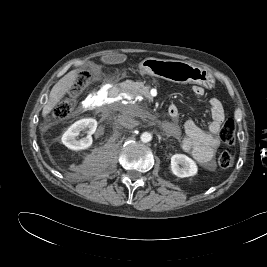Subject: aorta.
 Masks as SVG:
<instances>
[{
    "instance_id": "1",
    "label": "aorta",
    "mask_w": 267,
    "mask_h": 267,
    "mask_svg": "<svg viewBox=\"0 0 267 267\" xmlns=\"http://www.w3.org/2000/svg\"><path fill=\"white\" fill-rule=\"evenodd\" d=\"M140 139L143 143L150 142L152 139V134L149 132H143L140 136Z\"/></svg>"
}]
</instances>
